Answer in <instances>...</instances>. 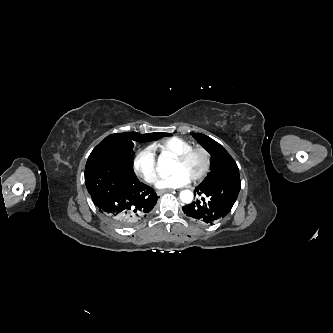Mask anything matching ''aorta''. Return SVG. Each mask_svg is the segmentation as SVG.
I'll use <instances>...</instances> for the list:
<instances>
[{
  "label": "aorta",
  "mask_w": 333,
  "mask_h": 333,
  "mask_svg": "<svg viewBox=\"0 0 333 333\" xmlns=\"http://www.w3.org/2000/svg\"><path fill=\"white\" fill-rule=\"evenodd\" d=\"M172 160L165 158V157H159L157 161V173L160 175H170L172 174ZM180 199L184 203H191L193 200V193L190 190H183L180 192Z\"/></svg>",
  "instance_id": "762f6f07"
}]
</instances>
